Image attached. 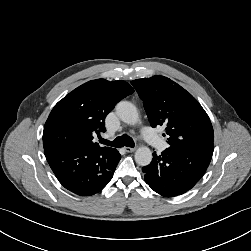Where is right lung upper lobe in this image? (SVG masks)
Instances as JSON below:
<instances>
[{
	"label": "right lung upper lobe",
	"instance_id": "cb5924a9",
	"mask_svg": "<svg viewBox=\"0 0 251 251\" xmlns=\"http://www.w3.org/2000/svg\"><path fill=\"white\" fill-rule=\"evenodd\" d=\"M133 92V88L123 80L110 82L96 79L77 87L52 109L44 126V150L52 149L49 132L65 127L74 135L73 148L97 150L111 158L116 149L100 147L93 142V135L106 131L104 120L107 114L116 103Z\"/></svg>",
	"mask_w": 251,
	"mask_h": 251
}]
</instances>
